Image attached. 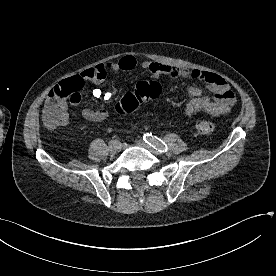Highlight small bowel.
<instances>
[{"instance_id":"obj_1","label":"small bowel","mask_w":276,"mask_h":276,"mask_svg":"<svg viewBox=\"0 0 276 276\" xmlns=\"http://www.w3.org/2000/svg\"><path fill=\"white\" fill-rule=\"evenodd\" d=\"M137 66L148 71L153 78L161 76H169L171 78H191L202 81L213 92V96H208L203 91L195 86H190L187 89L190 100L184 107L183 114L186 117H191L198 112L204 111L213 116L227 114L231 111L236 102V97L231 90L230 85L220 75L202 71L198 69L189 70L182 67L152 62L145 60L141 63L132 55H127L118 61H110L106 63L97 64L91 68L82 71L76 78L84 82H91L95 85H100L105 81L109 75H115L121 71H131ZM94 98H101L105 101L111 99L112 94L104 92L101 89H94L92 91ZM81 95L78 100H71L73 106L80 107L82 116L89 121H103L108 116V111L105 108H90L81 105ZM50 105V98L47 97L44 108L48 109ZM66 109V103L64 104Z\"/></svg>"}]
</instances>
